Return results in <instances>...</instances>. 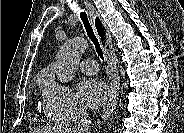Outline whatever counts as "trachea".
I'll list each match as a JSON object with an SVG mask.
<instances>
[{
    "label": "trachea",
    "mask_w": 184,
    "mask_h": 133,
    "mask_svg": "<svg viewBox=\"0 0 184 133\" xmlns=\"http://www.w3.org/2000/svg\"><path fill=\"white\" fill-rule=\"evenodd\" d=\"M80 17H81V20L84 24V27H85V30L87 32L88 37L90 38V40L92 41V43L95 46V49H96L98 56L104 61L102 46H101L100 41L98 40V38L95 34L90 22H89V19H88L86 13L81 12Z\"/></svg>",
    "instance_id": "trachea-1"
}]
</instances>
